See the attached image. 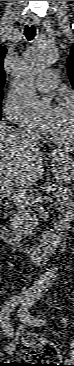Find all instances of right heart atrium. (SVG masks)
Wrapping results in <instances>:
<instances>
[{
	"label": "right heart atrium",
	"mask_w": 74,
	"mask_h": 366,
	"mask_svg": "<svg viewBox=\"0 0 74 366\" xmlns=\"http://www.w3.org/2000/svg\"><path fill=\"white\" fill-rule=\"evenodd\" d=\"M3 110L6 118L16 126L28 131L33 130L32 125L23 115L20 101L13 98H7L4 103Z\"/></svg>",
	"instance_id": "right-heart-atrium-1"
}]
</instances>
